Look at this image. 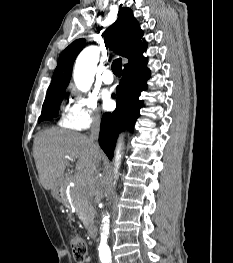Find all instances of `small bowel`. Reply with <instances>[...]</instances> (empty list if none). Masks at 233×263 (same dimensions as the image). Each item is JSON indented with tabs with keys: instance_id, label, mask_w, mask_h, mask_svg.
<instances>
[{
	"instance_id": "1",
	"label": "small bowel",
	"mask_w": 233,
	"mask_h": 263,
	"mask_svg": "<svg viewBox=\"0 0 233 263\" xmlns=\"http://www.w3.org/2000/svg\"><path fill=\"white\" fill-rule=\"evenodd\" d=\"M90 258H86L85 260H82L80 263H89Z\"/></svg>"
}]
</instances>
